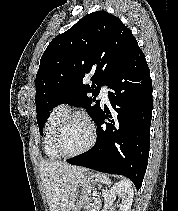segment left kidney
<instances>
[{"mask_svg":"<svg viewBox=\"0 0 178 211\" xmlns=\"http://www.w3.org/2000/svg\"><path fill=\"white\" fill-rule=\"evenodd\" d=\"M120 197L122 202L119 205V211H130L134 190L129 180H121L116 183L104 196L105 206H112L116 197Z\"/></svg>","mask_w":178,"mask_h":211,"instance_id":"left-kidney-1","label":"left kidney"}]
</instances>
